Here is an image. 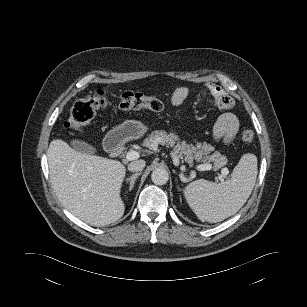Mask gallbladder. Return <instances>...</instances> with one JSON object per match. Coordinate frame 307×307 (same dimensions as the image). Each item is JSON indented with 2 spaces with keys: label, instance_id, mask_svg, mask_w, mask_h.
<instances>
[{
  "label": "gallbladder",
  "instance_id": "gallbladder-1",
  "mask_svg": "<svg viewBox=\"0 0 307 307\" xmlns=\"http://www.w3.org/2000/svg\"><path fill=\"white\" fill-rule=\"evenodd\" d=\"M71 146L75 150L85 154H94L96 152L95 147L83 140H72Z\"/></svg>",
  "mask_w": 307,
  "mask_h": 307
}]
</instances>
